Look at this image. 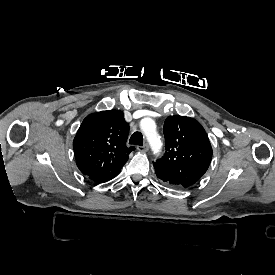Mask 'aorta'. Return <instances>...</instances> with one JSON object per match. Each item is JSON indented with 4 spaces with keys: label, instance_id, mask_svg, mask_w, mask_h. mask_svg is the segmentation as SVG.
Returning a JSON list of instances; mask_svg holds the SVG:
<instances>
[{
    "label": "aorta",
    "instance_id": "762f6f07",
    "mask_svg": "<svg viewBox=\"0 0 275 275\" xmlns=\"http://www.w3.org/2000/svg\"><path fill=\"white\" fill-rule=\"evenodd\" d=\"M140 128L145 134L147 140L150 142V145L154 151H159L161 145L158 144V134L156 132L155 121L151 118H143L140 121Z\"/></svg>",
    "mask_w": 275,
    "mask_h": 275
}]
</instances>
